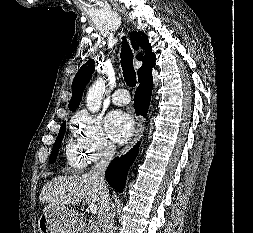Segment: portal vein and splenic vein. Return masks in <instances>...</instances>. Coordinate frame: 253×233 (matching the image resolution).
Instances as JSON below:
<instances>
[{
  "instance_id": "1",
  "label": "portal vein and splenic vein",
  "mask_w": 253,
  "mask_h": 233,
  "mask_svg": "<svg viewBox=\"0 0 253 233\" xmlns=\"http://www.w3.org/2000/svg\"><path fill=\"white\" fill-rule=\"evenodd\" d=\"M89 210L92 214H96L97 212V205L96 204H90L89 205Z\"/></svg>"
}]
</instances>
